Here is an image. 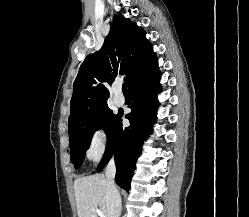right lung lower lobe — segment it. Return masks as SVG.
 <instances>
[{"mask_svg":"<svg viewBox=\"0 0 249 217\" xmlns=\"http://www.w3.org/2000/svg\"><path fill=\"white\" fill-rule=\"evenodd\" d=\"M158 60L154 56L147 66L129 85L131 112L125 116L130 126L122 127V113L107 136V147L97 168L102 170L114 154L116 163V183L126 191L130 189L136 161L141 153L143 141L152 130L159 106L157 93L160 92Z\"/></svg>","mask_w":249,"mask_h":217,"instance_id":"98d812e1","label":"right lung lower lobe"}]
</instances>
